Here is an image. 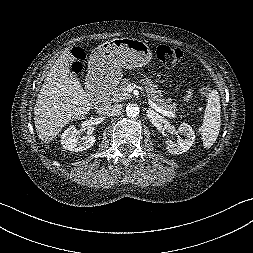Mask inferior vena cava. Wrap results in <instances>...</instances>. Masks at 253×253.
Returning <instances> with one entry per match:
<instances>
[{"label":"inferior vena cava","instance_id":"602c4592","mask_svg":"<svg viewBox=\"0 0 253 253\" xmlns=\"http://www.w3.org/2000/svg\"><path fill=\"white\" fill-rule=\"evenodd\" d=\"M123 109L122 104H113V105H104L101 108H99L100 112L106 113L108 116H116L119 113H121Z\"/></svg>","mask_w":253,"mask_h":253}]
</instances>
